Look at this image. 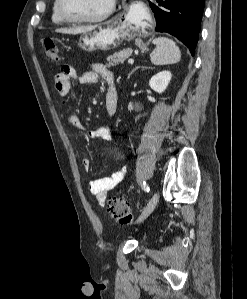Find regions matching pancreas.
Returning <instances> with one entry per match:
<instances>
[{
    "label": "pancreas",
    "mask_w": 247,
    "mask_h": 299,
    "mask_svg": "<svg viewBox=\"0 0 247 299\" xmlns=\"http://www.w3.org/2000/svg\"><path fill=\"white\" fill-rule=\"evenodd\" d=\"M131 50H126L123 49L119 51L118 53H114L110 57H108L107 61L108 63L106 64L107 66H114L119 63H123L130 55H131Z\"/></svg>",
    "instance_id": "cf45deb5"
}]
</instances>
